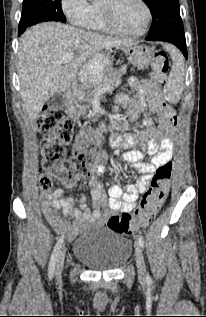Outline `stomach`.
I'll list each match as a JSON object with an SVG mask.
<instances>
[{
  "instance_id": "1",
  "label": "stomach",
  "mask_w": 206,
  "mask_h": 317,
  "mask_svg": "<svg viewBox=\"0 0 206 317\" xmlns=\"http://www.w3.org/2000/svg\"><path fill=\"white\" fill-rule=\"evenodd\" d=\"M125 53L130 63L129 68L134 66L142 68L149 63L153 52L147 46L142 44H132L125 49ZM111 66H114V55H92L91 59H84L82 67H78V76L75 82L81 90L82 86H96L101 83V77L105 72H111ZM91 94V93H89Z\"/></svg>"
}]
</instances>
